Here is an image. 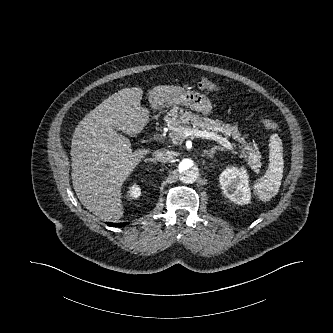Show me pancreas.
Returning <instances> with one entry per match:
<instances>
[{
    "instance_id": "1",
    "label": "pancreas",
    "mask_w": 333,
    "mask_h": 333,
    "mask_svg": "<svg viewBox=\"0 0 333 333\" xmlns=\"http://www.w3.org/2000/svg\"><path fill=\"white\" fill-rule=\"evenodd\" d=\"M170 130V138L174 143H178L184 139V131L191 128L190 124L203 131L220 129L226 136H232L233 139L240 143V148L243 155L247 158L248 165L255 172L261 167V155L257 148L250 146L236 126L225 124L218 120H212L205 117H200L191 112L180 113L178 115L177 108H173L165 118Z\"/></svg>"
}]
</instances>
